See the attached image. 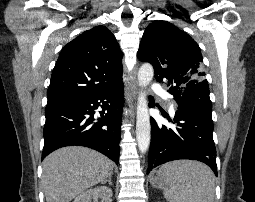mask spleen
<instances>
[{
  "label": "spleen",
  "mask_w": 255,
  "mask_h": 202,
  "mask_svg": "<svg viewBox=\"0 0 255 202\" xmlns=\"http://www.w3.org/2000/svg\"><path fill=\"white\" fill-rule=\"evenodd\" d=\"M159 175L165 182L164 197L169 202H213L215 176L197 161H174L164 164Z\"/></svg>",
  "instance_id": "1"
}]
</instances>
